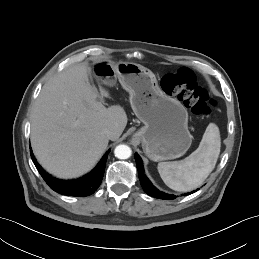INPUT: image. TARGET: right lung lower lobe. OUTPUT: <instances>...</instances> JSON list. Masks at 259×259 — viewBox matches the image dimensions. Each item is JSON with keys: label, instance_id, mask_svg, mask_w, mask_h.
<instances>
[{"label": "right lung lower lobe", "instance_id": "1", "mask_svg": "<svg viewBox=\"0 0 259 259\" xmlns=\"http://www.w3.org/2000/svg\"><path fill=\"white\" fill-rule=\"evenodd\" d=\"M109 152L110 151L106 152V154L101 159L97 167L88 175L75 180H60L47 173L39 165L30 148V154H31L33 163L35 164L42 178L45 180L47 185L52 190L63 195L81 196V197L93 194L100 186L103 179L106 160Z\"/></svg>", "mask_w": 259, "mask_h": 259}]
</instances>
